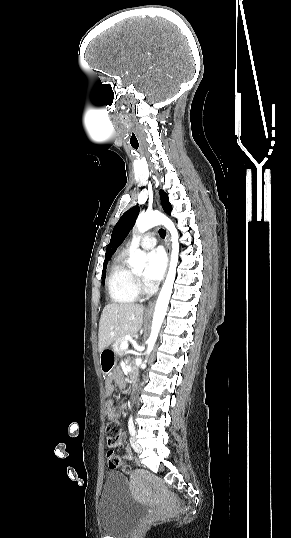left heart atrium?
I'll list each match as a JSON object with an SVG mask.
<instances>
[{
  "label": "left heart atrium",
  "instance_id": "1",
  "mask_svg": "<svg viewBox=\"0 0 291 538\" xmlns=\"http://www.w3.org/2000/svg\"><path fill=\"white\" fill-rule=\"evenodd\" d=\"M166 267V256L161 249H154L148 254V263L143 274L144 282L154 285L163 276Z\"/></svg>",
  "mask_w": 291,
  "mask_h": 538
}]
</instances>
